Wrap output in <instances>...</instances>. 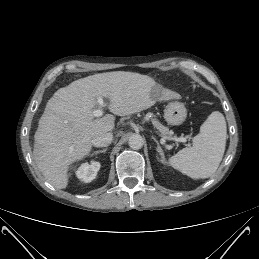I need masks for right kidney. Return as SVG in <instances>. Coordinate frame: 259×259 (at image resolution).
I'll list each match as a JSON object with an SVG mask.
<instances>
[{
	"mask_svg": "<svg viewBox=\"0 0 259 259\" xmlns=\"http://www.w3.org/2000/svg\"><path fill=\"white\" fill-rule=\"evenodd\" d=\"M100 169V163L97 161H92L89 163H83L76 170V176L81 181L88 183L96 178L97 172Z\"/></svg>",
	"mask_w": 259,
	"mask_h": 259,
	"instance_id": "obj_1",
	"label": "right kidney"
}]
</instances>
